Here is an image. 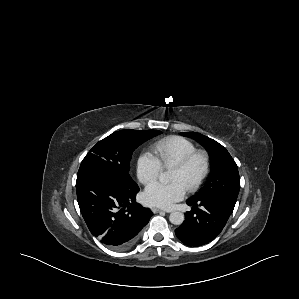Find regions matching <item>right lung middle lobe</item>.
<instances>
[{
	"instance_id": "dd1d6c3e",
	"label": "right lung middle lobe",
	"mask_w": 299,
	"mask_h": 299,
	"mask_svg": "<svg viewBox=\"0 0 299 299\" xmlns=\"http://www.w3.org/2000/svg\"><path fill=\"white\" fill-rule=\"evenodd\" d=\"M161 134L158 130H121L99 141L83 159L77 176L99 172L110 176L124 187L138 185L129 175L133 151L146 140Z\"/></svg>"
}]
</instances>
